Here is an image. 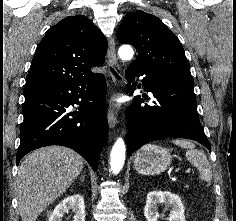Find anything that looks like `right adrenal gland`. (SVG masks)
Wrapping results in <instances>:
<instances>
[{
    "instance_id": "right-adrenal-gland-1",
    "label": "right adrenal gland",
    "mask_w": 236,
    "mask_h": 221,
    "mask_svg": "<svg viewBox=\"0 0 236 221\" xmlns=\"http://www.w3.org/2000/svg\"><path fill=\"white\" fill-rule=\"evenodd\" d=\"M84 178H85V174H83V175L80 177V180L84 181Z\"/></svg>"
}]
</instances>
